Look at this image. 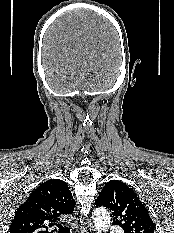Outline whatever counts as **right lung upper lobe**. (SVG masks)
I'll use <instances>...</instances> for the list:
<instances>
[{
    "instance_id": "1",
    "label": "right lung upper lobe",
    "mask_w": 174,
    "mask_h": 233,
    "mask_svg": "<svg viewBox=\"0 0 174 233\" xmlns=\"http://www.w3.org/2000/svg\"><path fill=\"white\" fill-rule=\"evenodd\" d=\"M74 207L75 201L67 184L50 179L38 186L18 208L10 233H49L46 224L58 221L61 215L71 214Z\"/></svg>"
}]
</instances>
